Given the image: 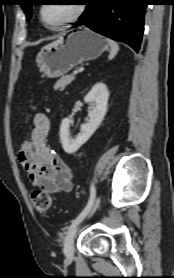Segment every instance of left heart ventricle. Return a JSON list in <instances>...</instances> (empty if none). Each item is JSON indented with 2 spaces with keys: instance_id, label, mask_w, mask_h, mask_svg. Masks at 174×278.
Masks as SVG:
<instances>
[{
  "instance_id": "b2bd125f",
  "label": "left heart ventricle",
  "mask_w": 174,
  "mask_h": 278,
  "mask_svg": "<svg viewBox=\"0 0 174 278\" xmlns=\"http://www.w3.org/2000/svg\"><path fill=\"white\" fill-rule=\"evenodd\" d=\"M76 9L77 4H47L43 7V17L49 25L56 26L69 19Z\"/></svg>"
}]
</instances>
